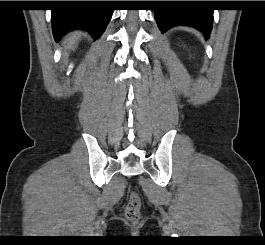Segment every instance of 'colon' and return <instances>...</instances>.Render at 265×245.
Segmentation results:
<instances>
[{
    "mask_svg": "<svg viewBox=\"0 0 265 245\" xmlns=\"http://www.w3.org/2000/svg\"><path fill=\"white\" fill-rule=\"evenodd\" d=\"M141 200L136 192H132L129 201L125 207V217L131 221L136 222L140 218Z\"/></svg>",
    "mask_w": 265,
    "mask_h": 245,
    "instance_id": "obj_1",
    "label": "colon"
}]
</instances>
